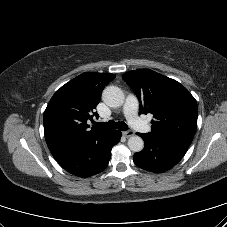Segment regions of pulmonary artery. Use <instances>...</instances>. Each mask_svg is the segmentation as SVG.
<instances>
[{
    "mask_svg": "<svg viewBox=\"0 0 227 227\" xmlns=\"http://www.w3.org/2000/svg\"><path fill=\"white\" fill-rule=\"evenodd\" d=\"M138 101L134 95H128L123 106V113L126 116L129 124L139 132H150V126L141 120L137 114Z\"/></svg>",
    "mask_w": 227,
    "mask_h": 227,
    "instance_id": "obj_1",
    "label": "pulmonary artery"
}]
</instances>
